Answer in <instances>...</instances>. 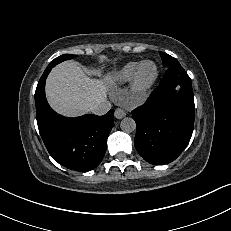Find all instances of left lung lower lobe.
I'll return each mask as SVG.
<instances>
[{
	"instance_id": "1",
	"label": "left lung lower lobe",
	"mask_w": 231,
	"mask_h": 231,
	"mask_svg": "<svg viewBox=\"0 0 231 231\" xmlns=\"http://www.w3.org/2000/svg\"><path fill=\"white\" fill-rule=\"evenodd\" d=\"M194 113L189 76L180 64L168 67L146 103L132 111L138 153L153 165L174 161L192 136Z\"/></svg>"
}]
</instances>
